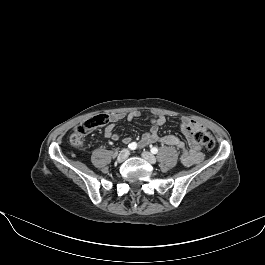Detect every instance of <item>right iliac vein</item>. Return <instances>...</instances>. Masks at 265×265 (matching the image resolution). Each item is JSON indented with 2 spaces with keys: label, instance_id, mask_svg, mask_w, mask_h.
Listing matches in <instances>:
<instances>
[{
  "label": "right iliac vein",
  "instance_id": "obj_1",
  "mask_svg": "<svg viewBox=\"0 0 265 265\" xmlns=\"http://www.w3.org/2000/svg\"><path fill=\"white\" fill-rule=\"evenodd\" d=\"M128 156H129L128 149H123L118 154L117 160H118V162H123V161H125L128 158Z\"/></svg>",
  "mask_w": 265,
  "mask_h": 265
}]
</instances>
